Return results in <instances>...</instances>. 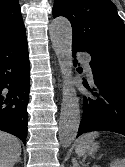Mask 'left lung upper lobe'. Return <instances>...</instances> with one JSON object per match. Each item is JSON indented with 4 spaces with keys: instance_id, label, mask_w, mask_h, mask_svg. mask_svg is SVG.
Segmentation results:
<instances>
[{
    "instance_id": "obj_1",
    "label": "left lung upper lobe",
    "mask_w": 125,
    "mask_h": 167,
    "mask_svg": "<svg viewBox=\"0 0 125 167\" xmlns=\"http://www.w3.org/2000/svg\"><path fill=\"white\" fill-rule=\"evenodd\" d=\"M53 17L72 25V44L89 54H114L125 61V25L110 0H55Z\"/></svg>"
}]
</instances>
